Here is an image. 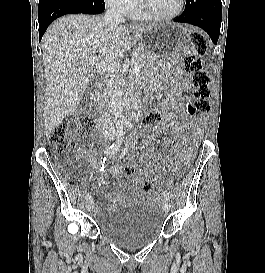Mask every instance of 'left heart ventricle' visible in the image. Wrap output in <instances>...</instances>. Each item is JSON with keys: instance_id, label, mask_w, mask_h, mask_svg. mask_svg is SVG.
Masks as SVG:
<instances>
[{"instance_id": "left-heart-ventricle-1", "label": "left heart ventricle", "mask_w": 265, "mask_h": 273, "mask_svg": "<svg viewBox=\"0 0 265 273\" xmlns=\"http://www.w3.org/2000/svg\"><path fill=\"white\" fill-rule=\"evenodd\" d=\"M149 11L156 15H169L175 12L180 0H146Z\"/></svg>"}]
</instances>
